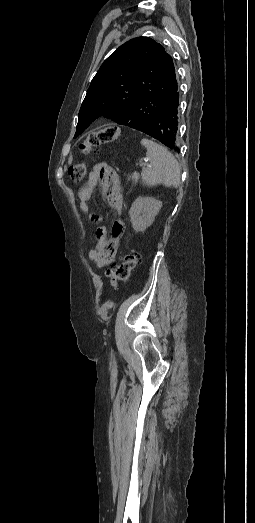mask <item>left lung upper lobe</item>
Here are the masks:
<instances>
[{"label": "left lung upper lobe", "mask_w": 255, "mask_h": 523, "mask_svg": "<svg viewBox=\"0 0 255 523\" xmlns=\"http://www.w3.org/2000/svg\"><path fill=\"white\" fill-rule=\"evenodd\" d=\"M177 89L172 57L164 47L148 37L131 39L104 61L92 79L74 138L102 115L129 127L154 121L153 115H162Z\"/></svg>", "instance_id": "left-lung-upper-lobe-1"}]
</instances>
